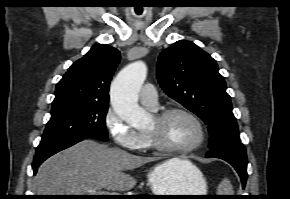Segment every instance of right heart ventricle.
Returning a JSON list of instances; mask_svg holds the SVG:
<instances>
[{
  "instance_id": "right-heart-ventricle-1",
  "label": "right heart ventricle",
  "mask_w": 290,
  "mask_h": 199,
  "mask_svg": "<svg viewBox=\"0 0 290 199\" xmlns=\"http://www.w3.org/2000/svg\"><path fill=\"white\" fill-rule=\"evenodd\" d=\"M150 149H151V147H150V144H149L147 136L145 134H141V145H140L139 150L147 151V150H150Z\"/></svg>"
}]
</instances>
